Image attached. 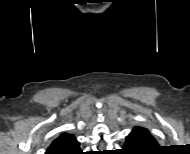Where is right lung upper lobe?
<instances>
[{
  "mask_svg": "<svg viewBox=\"0 0 190 154\" xmlns=\"http://www.w3.org/2000/svg\"><path fill=\"white\" fill-rule=\"evenodd\" d=\"M79 149V142L73 135L61 134L52 142L45 154H70Z\"/></svg>",
  "mask_w": 190,
  "mask_h": 154,
  "instance_id": "cb5924a9",
  "label": "right lung upper lobe"
}]
</instances>
